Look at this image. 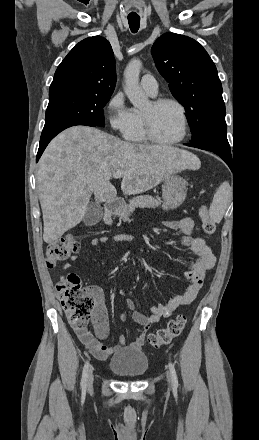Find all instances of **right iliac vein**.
Instances as JSON below:
<instances>
[{"label":"right iliac vein","mask_w":259,"mask_h":440,"mask_svg":"<svg viewBox=\"0 0 259 440\" xmlns=\"http://www.w3.org/2000/svg\"><path fill=\"white\" fill-rule=\"evenodd\" d=\"M94 380L93 368L90 369L87 379V387L91 388Z\"/></svg>","instance_id":"1"}]
</instances>
